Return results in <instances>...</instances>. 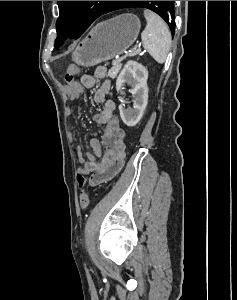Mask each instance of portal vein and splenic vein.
Here are the masks:
<instances>
[{"instance_id": "1", "label": "portal vein and splenic vein", "mask_w": 237, "mask_h": 300, "mask_svg": "<svg viewBox=\"0 0 237 300\" xmlns=\"http://www.w3.org/2000/svg\"><path fill=\"white\" fill-rule=\"evenodd\" d=\"M137 44V43H136ZM135 47V46H134ZM133 48V47H132ZM131 50V49H130ZM125 55H127V54H125ZM123 58V57H122ZM121 60H124V59H121ZM113 65H115V66H120V58H116L115 60H113L112 62H111Z\"/></svg>"}]
</instances>
